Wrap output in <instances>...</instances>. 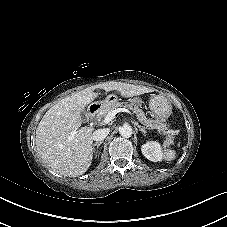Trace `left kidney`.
Instances as JSON below:
<instances>
[{
    "label": "left kidney",
    "mask_w": 227,
    "mask_h": 227,
    "mask_svg": "<svg viewBox=\"0 0 227 227\" xmlns=\"http://www.w3.org/2000/svg\"><path fill=\"white\" fill-rule=\"evenodd\" d=\"M142 154L150 161L158 162L163 159L162 148L156 141H148L141 147Z\"/></svg>",
    "instance_id": "1"
}]
</instances>
